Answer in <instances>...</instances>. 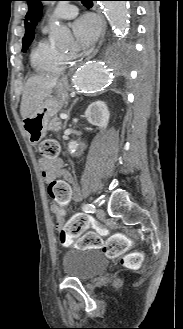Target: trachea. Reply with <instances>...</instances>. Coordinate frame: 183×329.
Returning a JSON list of instances; mask_svg holds the SVG:
<instances>
[{"instance_id": "1", "label": "trachea", "mask_w": 183, "mask_h": 329, "mask_svg": "<svg viewBox=\"0 0 183 329\" xmlns=\"http://www.w3.org/2000/svg\"><path fill=\"white\" fill-rule=\"evenodd\" d=\"M81 1L85 6L92 4V0H79Z\"/></svg>"}]
</instances>
